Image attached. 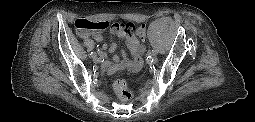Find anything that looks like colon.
<instances>
[{"label": "colon", "instance_id": "1", "mask_svg": "<svg viewBox=\"0 0 255 122\" xmlns=\"http://www.w3.org/2000/svg\"><path fill=\"white\" fill-rule=\"evenodd\" d=\"M74 28L78 35L85 36L93 31H104L107 29H124L127 32H135L139 38H143L145 30L142 25L135 22L113 23L104 20H89L80 18L75 20ZM114 91L121 102H129L132 92L124 80H117L113 84Z\"/></svg>", "mask_w": 255, "mask_h": 122}]
</instances>
